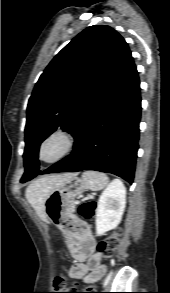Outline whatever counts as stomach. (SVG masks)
<instances>
[{
  "label": "stomach",
  "instance_id": "0dacf381",
  "mask_svg": "<svg viewBox=\"0 0 170 293\" xmlns=\"http://www.w3.org/2000/svg\"><path fill=\"white\" fill-rule=\"evenodd\" d=\"M86 189L83 181L74 174L54 187L45 201L47 218L68 235L72 234L67 226L73 223L75 203Z\"/></svg>",
  "mask_w": 170,
  "mask_h": 293
}]
</instances>
